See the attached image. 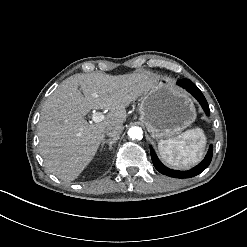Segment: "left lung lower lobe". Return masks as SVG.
<instances>
[{"label": "left lung lower lobe", "instance_id": "1", "mask_svg": "<svg viewBox=\"0 0 247 247\" xmlns=\"http://www.w3.org/2000/svg\"><path fill=\"white\" fill-rule=\"evenodd\" d=\"M177 84L185 88L189 93H191L199 101L206 114L209 115L208 103L202 92L193 84L192 81L188 79H182V80H178ZM150 152H151L153 165L160 173L175 178H190L200 174L203 170H205L209 166L212 159L213 146L210 145V148L204 160L200 164H198L197 166H195L194 168L188 171L171 170L165 167L159 161L152 147H150Z\"/></svg>", "mask_w": 247, "mask_h": 247}]
</instances>
